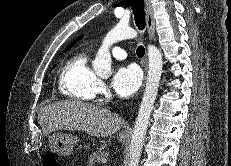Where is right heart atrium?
<instances>
[{
  "mask_svg": "<svg viewBox=\"0 0 231 166\" xmlns=\"http://www.w3.org/2000/svg\"><path fill=\"white\" fill-rule=\"evenodd\" d=\"M107 92L106 85L102 80L97 81L96 84V93L97 94H105Z\"/></svg>",
  "mask_w": 231,
  "mask_h": 166,
  "instance_id": "right-heart-atrium-1",
  "label": "right heart atrium"
}]
</instances>
